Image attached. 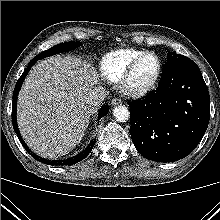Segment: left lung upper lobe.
<instances>
[{
	"instance_id": "5c2ea615",
	"label": "left lung upper lobe",
	"mask_w": 220,
	"mask_h": 220,
	"mask_svg": "<svg viewBox=\"0 0 220 220\" xmlns=\"http://www.w3.org/2000/svg\"><path fill=\"white\" fill-rule=\"evenodd\" d=\"M185 59H188V58L183 55L176 54V52H168L167 53V61H181V60H185Z\"/></svg>"
}]
</instances>
